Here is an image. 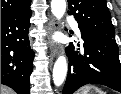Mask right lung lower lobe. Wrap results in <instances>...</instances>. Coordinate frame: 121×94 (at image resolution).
Instances as JSON below:
<instances>
[{"label": "right lung lower lobe", "mask_w": 121, "mask_h": 94, "mask_svg": "<svg viewBox=\"0 0 121 94\" xmlns=\"http://www.w3.org/2000/svg\"><path fill=\"white\" fill-rule=\"evenodd\" d=\"M31 14L28 8L1 18V84L18 94H30L34 58L28 39Z\"/></svg>", "instance_id": "obj_1"}]
</instances>
